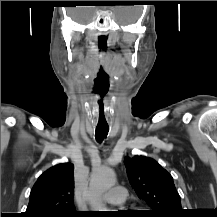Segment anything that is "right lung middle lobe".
Segmentation results:
<instances>
[{
	"mask_svg": "<svg viewBox=\"0 0 217 217\" xmlns=\"http://www.w3.org/2000/svg\"><path fill=\"white\" fill-rule=\"evenodd\" d=\"M78 216V214L77 215H63V216H60V217H77Z\"/></svg>",
	"mask_w": 217,
	"mask_h": 217,
	"instance_id": "obj_1",
	"label": "right lung middle lobe"
}]
</instances>
